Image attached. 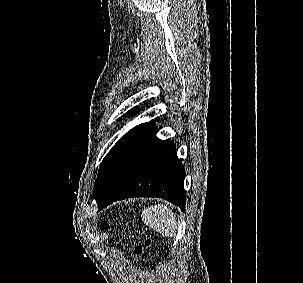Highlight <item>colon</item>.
<instances>
[{"mask_svg":"<svg viewBox=\"0 0 303 283\" xmlns=\"http://www.w3.org/2000/svg\"><path fill=\"white\" fill-rule=\"evenodd\" d=\"M102 228H103V229H108V225H107V224H103V225H102ZM150 245H151V241H150V240H147V241L144 243L143 246H139V247L136 248L135 254H136L137 256H140L147 248L150 247Z\"/></svg>","mask_w":303,"mask_h":283,"instance_id":"1","label":"colon"}]
</instances>
